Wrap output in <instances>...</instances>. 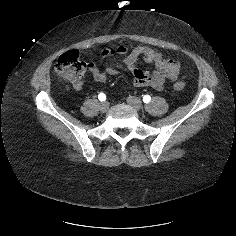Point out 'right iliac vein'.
Here are the masks:
<instances>
[{
	"label": "right iliac vein",
	"mask_w": 236,
	"mask_h": 236,
	"mask_svg": "<svg viewBox=\"0 0 236 236\" xmlns=\"http://www.w3.org/2000/svg\"><path fill=\"white\" fill-rule=\"evenodd\" d=\"M99 108L102 112H106L109 108V103L108 102H102L100 104Z\"/></svg>",
	"instance_id": "63e3f726"
}]
</instances>
